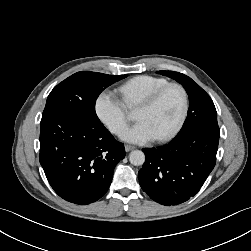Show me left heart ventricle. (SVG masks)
<instances>
[{
  "label": "left heart ventricle",
  "instance_id": "1",
  "mask_svg": "<svg viewBox=\"0 0 251 251\" xmlns=\"http://www.w3.org/2000/svg\"><path fill=\"white\" fill-rule=\"evenodd\" d=\"M182 110V96L178 89L168 90L151 108L138 107L137 121H145L156 137L169 131L177 122Z\"/></svg>",
  "mask_w": 251,
  "mask_h": 251
}]
</instances>
